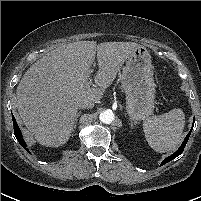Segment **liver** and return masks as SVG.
<instances>
[{
	"mask_svg": "<svg viewBox=\"0 0 201 201\" xmlns=\"http://www.w3.org/2000/svg\"><path fill=\"white\" fill-rule=\"evenodd\" d=\"M140 47L134 42L77 41L62 45L36 61L17 86L16 107L28 130L42 145L62 146L69 139L84 98L100 101L128 56ZM97 54L94 77L99 88L85 83Z\"/></svg>",
	"mask_w": 201,
	"mask_h": 201,
	"instance_id": "6515ba94",
	"label": "liver"
}]
</instances>
